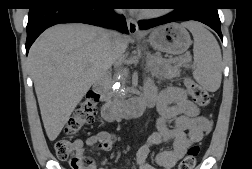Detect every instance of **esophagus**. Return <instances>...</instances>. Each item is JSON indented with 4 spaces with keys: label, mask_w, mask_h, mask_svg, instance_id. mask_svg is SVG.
<instances>
[{
    "label": "esophagus",
    "mask_w": 252,
    "mask_h": 169,
    "mask_svg": "<svg viewBox=\"0 0 252 169\" xmlns=\"http://www.w3.org/2000/svg\"><path fill=\"white\" fill-rule=\"evenodd\" d=\"M127 27H128L129 33L131 35H138L139 34L138 24L135 19L127 18Z\"/></svg>",
    "instance_id": "esophagus-1"
}]
</instances>
